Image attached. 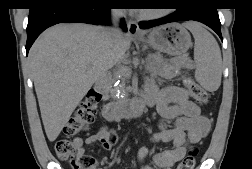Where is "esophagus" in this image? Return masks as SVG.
I'll return each mask as SVG.
<instances>
[{"label":"esophagus","instance_id":"esophagus-1","mask_svg":"<svg viewBox=\"0 0 252 169\" xmlns=\"http://www.w3.org/2000/svg\"><path fill=\"white\" fill-rule=\"evenodd\" d=\"M128 33L132 36H139L141 32L139 30V26L136 21L129 20L127 23Z\"/></svg>","mask_w":252,"mask_h":169}]
</instances>
